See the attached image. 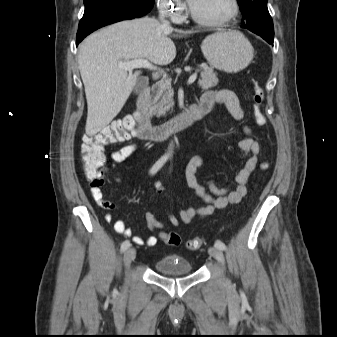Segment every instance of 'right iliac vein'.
I'll use <instances>...</instances> for the list:
<instances>
[{
	"label": "right iliac vein",
	"instance_id": "63e3f726",
	"mask_svg": "<svg viewBox=\"0 0 337 337\" xmlns=\"http://www.w3.org/2000/svg\"><path fill=\"white\" fill-rule=\"evenodd\" d=\"M136 250L134 248H129L124 253V265L128 269L130 267L131 262L135 259Z\"/></svg>",
	"mask_w": 337,
	"mask_h": 337
}]
</instances>
